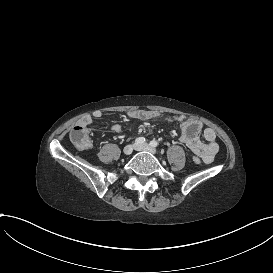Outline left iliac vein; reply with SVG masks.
<instances>
[{"label": "left iliac vein", "mask_w": 273, "mask_h": 273, "mask_svg": "<svg viewBox=\"0 0 273 273\" xmlns=\"http://www.w3.org/2000/svg\"><path fill=\"white\" fill-rule=\"evenodd\" d=\"M135 150H137V151H148L151 154H156V152H157L155 148L151 147L148 144L136 145Z\"/></svg>", "instance_id": "left-iliac-vein-1"}]
</instances>
